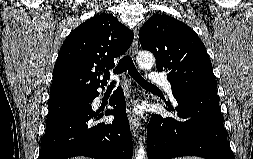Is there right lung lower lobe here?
<instances>
[{"label": "right lung lower lobe", "mask_w": 253, "mask_h": 159, "mask_svg": "<svg viewBox=\"0 0 253 159\" xmlns=\"http://www.w3.org/2000/svg\"><path fill=\"white\" fill-rule=\"evenodd\" d=\"M66 111L46 123L38 159H67L87 156L95 159H132V137L125 110V98L121 87L111 96L109 105L114 110L97 111L92 101ZM114 115L111 123L97 121L103 115Z\"/></svg>", "instance_id": "obj_1"}]
</instances>
